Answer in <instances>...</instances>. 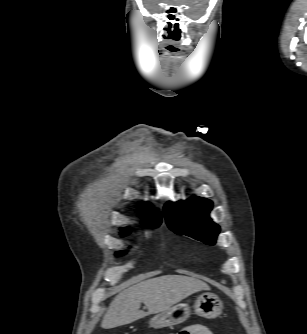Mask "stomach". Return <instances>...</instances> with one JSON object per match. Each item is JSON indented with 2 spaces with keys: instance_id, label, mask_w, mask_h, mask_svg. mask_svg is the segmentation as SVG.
Returning <instances> with one entry per match:
<instances>
[{
  "instance_id": "stomach-1",
  "label": "stomach",
  "mask_w": 307,
  "mask_h": 334,
  "mask_svg": "<svg viewBox=\"0 0 307 334\" xmlns=\"http://www.w3.org/2000/svg\"><path fill=\"white\" fill-rule=\"evenodd\" d=\"M223 310V303L213 293L199 295L194 304V311L197 315L213 319L218 317ZM191 314V308L186 303L176 304L169 309L155 315L149 322L153 328H164L178 325L185 322Z\"/></svg>"
}]
</instances>
